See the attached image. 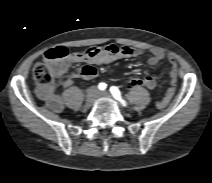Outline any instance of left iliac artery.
Returning a JSON list of instances; mask_svg holds the SVG:
<instances>
[{"instance_id": "44dca946", "label": "left iliac artery", "mask_w": 212, "mask_h": 183, "mask_svg": "<svg viewBox=\"0 0 212 183\" xmlns=\"http://www.w3.org/2000/svg\"><path fill=\"white\" fill-rule=\"evenodd\" d=\"M110 92L116 100L120 101L123 105H126V102L122 99L121 93L117 87L112 86L110 88Z\"/></svg>"}]
</instances>
